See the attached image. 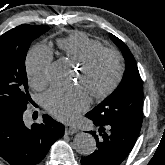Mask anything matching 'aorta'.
I'll return each instance as SVG.
<instances>
[{"label":"aorta","mask_w":165,"mask_h":165,"mask_svg":"<svg viewBox=\"0 0 165 165\" xmlns=\"http://www.w3.org/2000/svg\"><path fill=\"white\" fill-rule=\"evenodd\" d=\"M48 74L53 82L62 83L64 82L65 66L61 63H54ZM73 147L81 155H90L96 149V141L91 134L80 132L73 139Z\"/></svg>","instance_id":"aorta-1"}]
</instances>
